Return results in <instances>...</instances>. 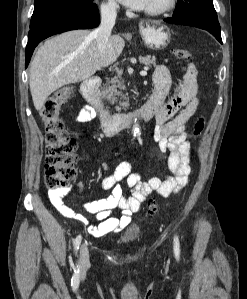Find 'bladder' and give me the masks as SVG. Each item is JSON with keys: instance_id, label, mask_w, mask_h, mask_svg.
Wrapping results in <instances>:
<instances>
[{"instance_id": "31cf9c89", "label": "bladder", "mask_w": 247, "mask_h": 299, "mask_svg": "<svg viewBox=\"0 0 247 299\" xmlns=\"http://www.w3.org/2000/svg\"><path fill=\"white\" fill-rule=\"evenodd\" d=\"M141 235V231L138 227L129 228L122 236L121 242L123 243H131L136 241Z\"/></svg>"}]
</instances>
